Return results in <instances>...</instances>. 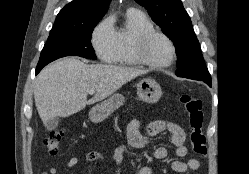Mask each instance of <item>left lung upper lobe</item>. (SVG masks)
Here are the masks:
<instances>
[{
  "label": "left lung upper lobe",
  "instance_id": "left-lung-upper-lobe-1",
  "mask_svg": "<svg viewBox=\"0 0 249 174\" xmlns=\"http://www.w3.org/2000/svg\"><path fill=\"white\" fill-rule=\"evenodd\" d=\"M135 1L147 9L152 20L174 43L178 59L175 74L189 79H211L191 19L181 0Z\"/></svg>",
  "mask_w": 249,
  "mask_h": 174
}]
</instances>
